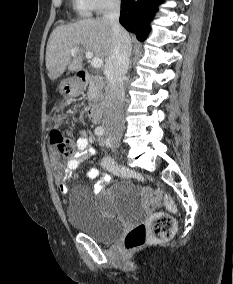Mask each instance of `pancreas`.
I'll return each mask as SVG.
<instances>
[{
  "instance_id": "cf45deb5",
  "label": "pancreas",
  "mask_w": 233,
  "mask_h": 284,
  "mask_svg": "<svg viewBox=\"0 0 233 284\" xmlns=\"http://www.w3.org/2000/svg\"><path fill=\"white\" fill-rule=\"evenodd\" d=\"M87 95H88V99L89 101H96L97 99H99L100 97V94L97 92V89L96 87L94 86V83L92 82L90 87H89V90L87 92Z\"/></svg>"
}]
</instances>
